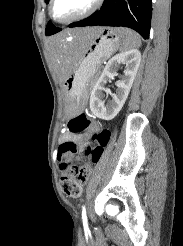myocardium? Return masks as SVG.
I'll use <instances>...</instances> for the list:
<instances>
[{
  "label": "myocardium",
  "instance_id": "myocardium-1",
  "mask_svg": "<svg viewBox=\"0 0 183 246\" xmlns=\"http://www.w3.org/2000/svg\"><path fill=\"white\" fill-rule=\"evenodd\" d=\"M104 0H94L93 3L91 4V6L85 10L83 13L76 15L74 17L68 18V19H64V20H58L54 17L53 15V6H54V2L55 0H50L49 2V8H48V13L50 18L57 22V23H61V24H68V23H72L81 19H84L88 16H90L91 14H93L103 3Z\"/></svg>",
  "mask_w": 183,
  "mask_h": 246
}]
</instances>
